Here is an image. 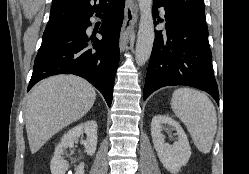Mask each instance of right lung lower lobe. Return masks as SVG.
Returning <instances> with one entry per match:
<instances>
[{
	"mask_svg": "<svg viewBox=\"0 0 249 174\" xmlns=\"http://www.w3.org/2000/svg\"><path fill=\"white\" fill-rule=\"evenodd\" d=\"M125 0L113 3L97 16L103 18L99 30L102 41L96 39L88 49L86 29L91 25L90 17L75 18L56 26L42 40L35 58L33 74L28 91L40 80L57 74H74L85 78L104 96L111 106L113 85L119 63V30L123 21Z\"/></svg>",
	"mask_w": 249,
	"mask_h": 174,
	"instance_id": "obj_1",
	"label": "right lung lower lobe"
}]
</instances>
